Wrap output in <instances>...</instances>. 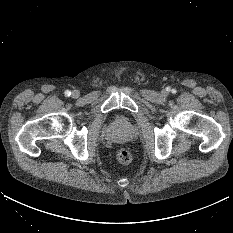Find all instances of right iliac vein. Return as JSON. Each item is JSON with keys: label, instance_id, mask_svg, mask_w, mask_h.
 Here are the masks:
<instances>
[{"label": "right iliac vein", "instance_id": "obj_1", "mask_svg": "<svg viewBox=\"0 0 233 233\" xmlns=\"http://www.w3.org/2000/svg\"><path fill=\"white\" fill-rule=\"evenodd\" d=\"M79 91H77V90H74L73 92H72V97L73 98H78L79 97Z\"/></svg>", "mask_w": 233, "mask_h": 233}]
</instances>
